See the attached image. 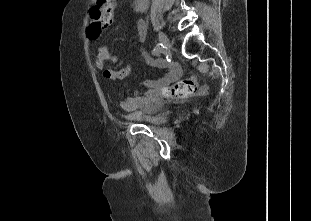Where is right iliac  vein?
I'll return each instance as SVG.
<instances>
[{"label": "right iliac vein", "instance_id": "1", "mask_svg": "<svg viewBox=\"0 0 311 221\" xmlns=\"http://www.w3.org/2000/svg\"><path fill=\"white\" fill-rule=\"evenodd\" d=\"M159 41L163 45L165 51H169L171 49V43L165 33L159 32Z\"/></svg>", "mask_w": 311, "mask_h": 221}]
</instances>
